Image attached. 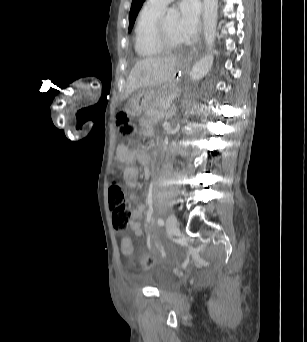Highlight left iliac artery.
Segmentation results:
<instances>
[{
  "label": "left iliac artery",
  "mask_w": 307,
  "mask_h": 342,
  "mask_svg": "<svg viewBox=\"0 0 307 342\" xmlns=\"http://www.w3.org/2000/svg\"><path fill=\"white\" fill-rule=\"evenodd\" d=\"M149 196H152V194H149ZM158 224H159L160 226H163V225H164V220L161 219V218H159V219H158Z\"/></svg>",
  "instance_id": "44dca946"
}]
</instances>
